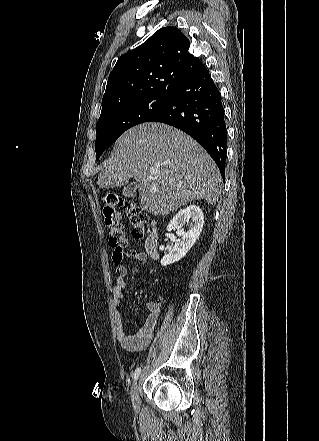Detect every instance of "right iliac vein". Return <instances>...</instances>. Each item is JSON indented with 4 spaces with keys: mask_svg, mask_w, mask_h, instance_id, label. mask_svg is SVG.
<instances>
[{
    "mask_svg": "<svg viewBox=\"0 0 319 441\" xmlns=\"http://www.w3.org/2000/svg\"><path fill=\"white\" fill-rule=\"evenodd\" d=\"M131 401L134 411L137 413L140 410V396H139V385L136 382L132 387L131 391Z\"/></svg>",
    "mask_w": 319,
    "mask_h": 441,
    "instance_id": "right-iliac-vein-1",
    "label": "right iliac vein"
}]
</instances>
